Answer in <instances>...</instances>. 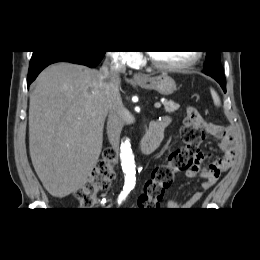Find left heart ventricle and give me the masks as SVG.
Listing matches in <instances>:
<instances>
[{
    "mask_svg": "<svg viewBox=\"0 0 260 260\" xmlns=\"http://www.w3.org/2000/svg\"><path fill=\"white\" fill-rule=\"evenodd\" d=\"M151 53L157 61L163 64H181L195 55L193 51H154Z\"/></svg>",
    "mask_w": 260,
    "mask_h": 260,
    "instance_id": "1",
    "label": "left heart ventricle"
}]
</instances>
